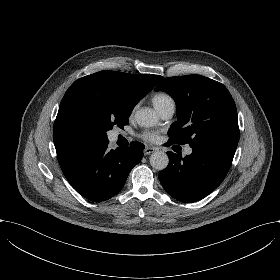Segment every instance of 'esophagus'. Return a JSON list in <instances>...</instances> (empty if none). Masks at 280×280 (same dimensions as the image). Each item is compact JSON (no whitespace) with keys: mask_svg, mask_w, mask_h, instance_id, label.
Wrapping results in <instances>:
<instances>
[{"mask_svg":"<svg viewBox=\"0 0 280 280\" xmlns=\"http://www.w3.org/2000/svg\"><path fill=\"white\" fill-rule=\"evenodd\" d=\"M155 150H156V149L153 148V147H146V148L144 149V155L147 156V155H149V154L155 152Z\"/></svg>","mask_w":280,"mask_h":280,"instance_id":"esophagus-1","label":"esophagus"}]
</instances>
